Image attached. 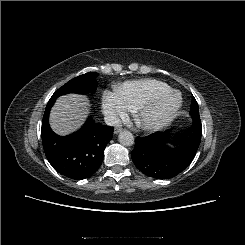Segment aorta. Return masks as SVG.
I'll list each match as a JSON object with an SVG mask.
<instances>
[{"instance_id":"762f6f07","label":"aorta","mask_w":245,"mask_h":245,"mask_svg":"<svg viewBox=\"0 0 245 245\" xmlns=\"http://www.w3.org/2000/svg\"><path fill=\"white\" fill-rule=\"evenodd\" d=\"M118 140L124 146H131L134 144V136L130 131L127 130L120 132Z\"/></svg>"}]
</instances>
